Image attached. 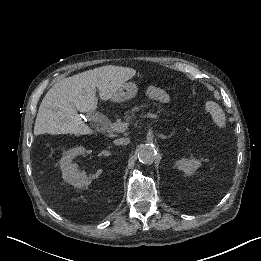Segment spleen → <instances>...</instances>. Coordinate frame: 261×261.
I'll return each instance as SVG.
<instances>
[{"label":"spleen","instance_id":"1","mask_svg":"<svg viewBox=\"0 0 261 261\" xmlns=\"http://www.w3.org/2000/svg\"><path fill=\"white\" fill-rule=\"evenodd\" d=\"M206 110L212 115L213 121L220 128L225 127V113L216 103L210 101L206 103Z\"/></svg>","mask_w":261,"mask_h":261}]
</instances>
